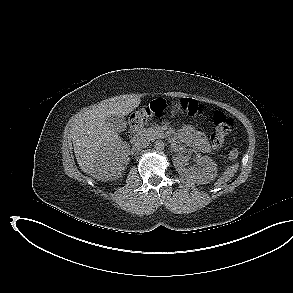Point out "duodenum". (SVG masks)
Wrapping results in <instances>:
<instances>
[{"label":"duodenum","instance_id":"obj_1","mask_svg":"<svg viewBox=\"0 0 293 293\" xmlns=\"http://www.w3.org/2000/svg\"><path fill=\"white\" fill-rule=\"evenodd\" d=\"M141 141H142V134L141 132L138 131L132 137V144L133 146H137L140 144Z\"/></svg>","mask_w":293,"mask_h":293}]
</instances>
